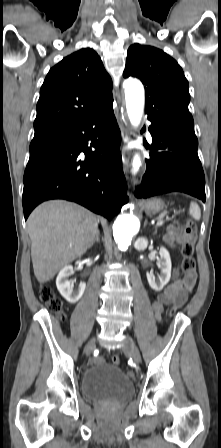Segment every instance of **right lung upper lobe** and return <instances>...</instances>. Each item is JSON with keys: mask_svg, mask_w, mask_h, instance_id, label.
Masks as SVG:
<instances>
[{"mask_svg": "<svg viewBox=\"0 0 221 448\" xmlns=\"http://www.w3.org/2000/svg\"><path fill=\"white\" fill-rule=\"evenodd\" d=\"M112 80L98 54L83 48L50 69L40 90L34 138L112 102Z\"/></svg>", "mask_w": 221, "mask_h": 448, "instance_id": "right-lung-upper-lobe-1", "label": "right lung upper lobe"}]
</instances>
